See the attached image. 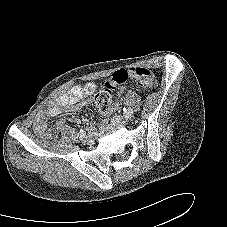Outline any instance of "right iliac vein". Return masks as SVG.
<instances>
[{"instance_id":"obj_1","label":"right iliac vein","mask_w":227,"mask_h":227,"mask_svg":"<svg viewBox=\"0 0 227 227\" xmlns=\"http://www.w3.org/2000/svg\"><path fill=\"white\" fill-rule=\"evenodd\" d=\"M82 141H84L87 144H91L93 142V138L91 135H87L82 138Z\"/></svg>"}]
</instances>
